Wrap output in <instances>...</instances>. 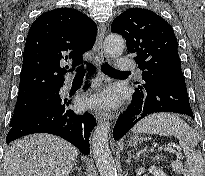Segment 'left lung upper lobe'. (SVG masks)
I'll return each instance as SVG.
<instances>
[{"instance_id": "1", "label": "left lung upper lobe", "mask_w": 205, "mask_h": 176, "mask_svg": "<svg viewBox=\"0 0 205 176\" xmlns=\"http://www.w3.org/2000/svg\"><path fill=\"white\" fill-rule=\"evenodd\" d=\"M111 31L126 39L128 52L135 55L144 82L162 73L182 72L174 31L156 13L128 9L114 19Z\"/></svg>"}]
</instances>
